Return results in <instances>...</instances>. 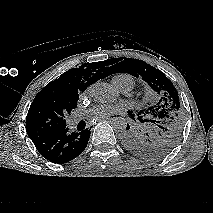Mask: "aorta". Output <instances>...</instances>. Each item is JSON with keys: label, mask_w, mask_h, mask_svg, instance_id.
Here are the masks:
<instances>
[{"label": "aorta", "mask_w": 213, "mask_h": 213, "mask_svg": "<svg viewBox=\"0 0 213 213\" xmlns=\"http://www.w3.org/2000/svg\"><path fill=\"white\" fill-rule=\"evenodd\" d=\"M89 91L93 100L100 103L111 102L118 96V93L106 83H95ZM112 126L114 130L123 132L126 129L127 122L124 118L117 117L113 120Z\"/></svg>", "instance_id": "1"}]
</instances>
